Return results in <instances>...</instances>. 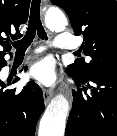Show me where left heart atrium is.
<instances>
[{"instance_id":"obj_1","label":"left heart atrium","mask_w":117,"mask_h":136,"mask_svg":"<svg viewBox=\"0 0 117 136\" xmlns=\"http://www.w3.org/2000/svg\"><path fill=\"white\" fill-rule=\"evenodd\" d=\"M30 76L45 86H52L58 81V71L52 58H44L30 68Z\"/></svg>"}]
</instances>
